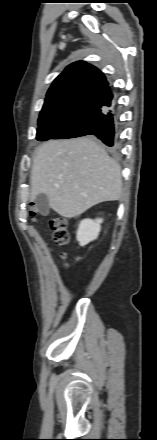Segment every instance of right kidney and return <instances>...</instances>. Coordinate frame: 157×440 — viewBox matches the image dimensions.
<instances>
[{"instance_id": "1", "label": "right kidney", "mask_w": 157, "mask_h": 440, "mask_svg": "<svg viewBox=\"0 0 157 440\" xmlns=\"http://www.w3.org/2000/svg\"><path fill=\"white\" fill-rule=\"evenodd\" d=\"M102 222L103 219L101 218L95 220L84 219L80 222L76 233V239L80 246H85L98 238Z\"/></svg>"}]
</instances>
